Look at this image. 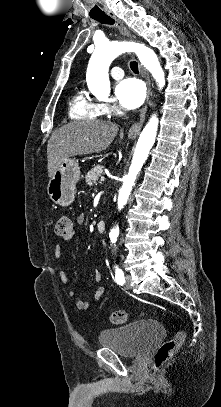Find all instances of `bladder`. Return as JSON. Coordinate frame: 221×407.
I'll use <instances>...</instances> for the list:
<instances>
[{
	"label": "bladder",
	"instance_id": "1",
	"mask_svg": "<svg viewBox=\"0 0 221 407\" xmlns=\"http://www.w3.org/2000/svg\"><path fill=\"white\" fill-rule=\"evenodd\" d=\"M164 333L165 328L160 320L144 319L122 327L102 330L98 335V342L102 347L113 348L122 356L137 357Z\"/></svg>",
	"mask_w": 221,
	"mask_h": 407
}]
</instances>
